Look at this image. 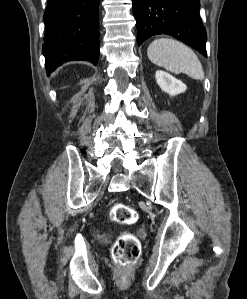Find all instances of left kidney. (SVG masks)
Listing matches in <instances>:
<instances>
[{"label":"left kidney","instance_id":"left-kidney-1","mask_svg":"<svg viewBox=\"0 0 247 299\" xmlns=\"http://www.w3.org/2000/svg\"><path fill=\"white\" fill-rule=\"evenodd\" d=\"M156 82L162 91L168 93L170 96H175L186 91V85L170 75L169 73L157 70L155 73Z\"/></svg>","mask_w":247,"mask_h":299}]
</instances>
